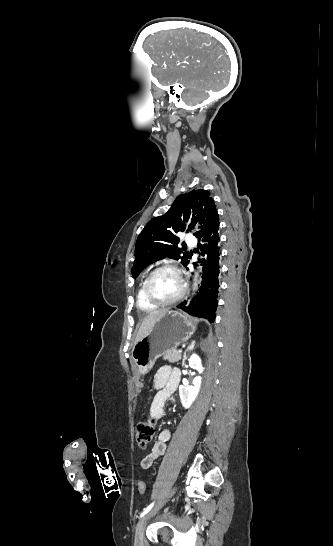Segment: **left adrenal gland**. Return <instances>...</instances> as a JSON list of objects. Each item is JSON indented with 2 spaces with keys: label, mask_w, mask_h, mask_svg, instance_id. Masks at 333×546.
<instances>
[{
  "label": "left adrenal gland",
  "mask_w": 333,
  "mask_h": 546,
  "mask_svg": "<svg viewBox=\"0 0 333 546\" xmlns=\"http://www.w3.org/2000/svg\"><path fill=\"white\" fill-rule=\"evenodd\" d=\"M194 346H195V341H191V343L187 346V349H186V351L184 352V355H183L182 366L185 365V361L187 359L186 353L188 351H192L194 349Z\"/></svg>",
  "instance_id": "obj_1"
}]
</instances>
